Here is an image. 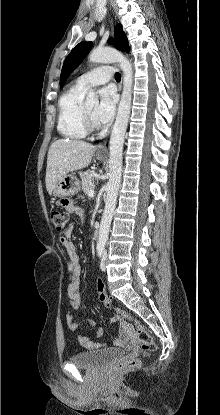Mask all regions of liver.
Masks as SVG:
<instances>
[{
	"label": "liver",
	"instance_id": "1",
	"mask_svg": "<svg viewBox=\"0 0 220 415\" xmlns=\"http://www.w3.org/2000/svg\"><path fill=\"white\" fill-rule=\"evenodd\" d=\"M96 151L90 143L75 139H59L52 143L47 155L46 189L51 195L58 181L68 173L86 168Z\"/></svg>",
	"mask_w": 220,
	"mask_h": 415
}]
</instances>
